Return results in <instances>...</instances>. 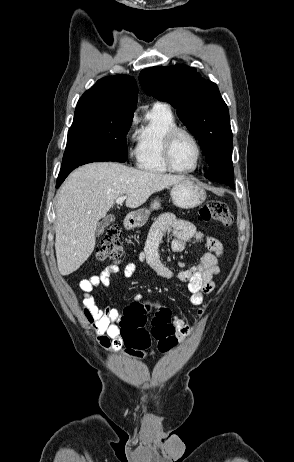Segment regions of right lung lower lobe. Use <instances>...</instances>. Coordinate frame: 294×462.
Returning a JSON list of instances; mask_svg holds the SVG:
<instances>
[{
  "label": "right lung lower lobe",
  "instance_id": "right-lung-lower-lobe-1",
  "mask_svg": "<svg viewBox=\"0 0 294 462\" xmlns=\"http://www.w3.org/2000/svg\"><path fill=\"white\" fill-rule=\"evenodd\" d=\"M75 168H70L64 171H60L57 179V184L56 187H59L62 182L65 180V178L74 170Z\"/></svg>",
  "mask_w": 294,
  "mask_h": 462
}]
</instances>
